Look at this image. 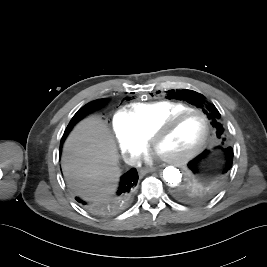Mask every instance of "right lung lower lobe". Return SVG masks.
Listing matches in <instances>:
<instances>
[{
	"instance_id": "98d812e1",
	"label": "right lung lower lobe",
	"mask_w": 267,
	"mask_h": 267,
	"mask_svg": "<svg viewBox=\"0 0 267 267\" xmlns=\"http://www.w3.org/2000/svg\"><path fill=\"white\" fill-rule=\"evenodd\" d=\"M103 105V102H91L83 106L71 119L70 123L68 124L64 135L61 139L60 143V153H61V148L62 144L67 137L68 133L72 129V127L84 116L87 114L91 113L95 109L101 107ZM138 173L135 168H132L128 172H126L124 175H122L121 180H120V185L117 191V200L115 203V207H120L121 205H124L130 198L131 193L133 192L134 188L137 185L138 182ZM76 200L81 203L82 205H88L87 202L83 201L80 198H76Z\"/></svg>"
}]
</instances>
